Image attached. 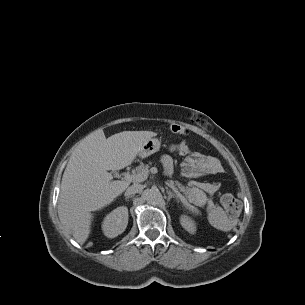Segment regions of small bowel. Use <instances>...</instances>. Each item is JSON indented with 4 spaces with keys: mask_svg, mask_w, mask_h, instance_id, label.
Here are the masks:
<instances>
[{
    "mask_svg": "<svg viewBox=\"0 0 305 305\" xmlns=\"http://www.w3.org/2000/svg\"><path fill=\"white\" fill-rule=\"evenodd\" d=\"M171 151H176L181 155H187L189 149L185 143L171 146ZM194 157L198 161V165L207 173H218L220 171L219 162L212 157L204 156L199 153H194ZM161 163L163 165L166 174L170 175L173 172V159L170 155L165 154L161 157Z\"/></svg>",
    "mask_w": 305,
    "mask_h": 305,
    "instance_id": "small-bowel-1",
    "label": "small bowel"
}]
</instances>
